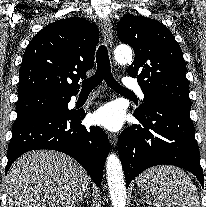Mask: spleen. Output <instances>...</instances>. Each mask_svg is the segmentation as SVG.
Segmentation results:
<instances>
[{
	"mask_svg": "<svg viewBox=\"0 0 206 207\" xmlns=\"http://www.w3.org/2000/svg\"><path fill=\"white\" fill-rule=\"evenodd\" d=\"M138 186L151 192L157 204L167 207H200L199 195L190 177L175 166H157L143 172Z\"/></svg>",
	"mask_w": 206,
	"mask_h": 207,
	"instance_id": "1",
	"label": "spleen"
}]
</instances>
